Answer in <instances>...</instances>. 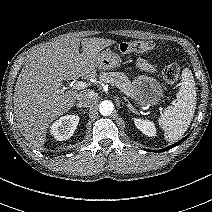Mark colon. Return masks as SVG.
<instances>
[{"label":"colon","instance_id":"colon-1","mask_svg":"<svg viewBox=\"0 0 212 212\" xmlns=\"http://www.w3.org/2000/svg\"><path fill=\"white\" fill-rule=\"evenodd\" d=\"M153 48V43L149 41H128L122 42L118 46V50L124 54L148 53ZM179 73L180 67L178 63L175 61H171L164 66L162 77L167 83L174 84L178 79Z\"/></svg>","mask_w":212,"mask_h":212}]
</instances>
